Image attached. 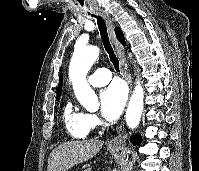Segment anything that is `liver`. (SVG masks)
Here are the masks:
<instances>
[{
	"instance_id": "1",
	"label": "liver",
	"mask_w": 199,
	"mask_h": 171,
	"mask_svg": "<svg viewBox=\"0 0 199 171\" xmlns=\"http://www.w3.org/2000/svg\"><path fill=\"white\" fill-rule=\"evenodd\" d=\"M103 146L98 139L71 141L55 148L48 159L47 171H67L95 156Z\"/></svg>"
}]
</instances>
